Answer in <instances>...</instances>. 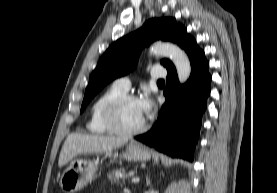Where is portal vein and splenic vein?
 <instances>
[{
    "mask_svg": "<svg viewBox=\"0 0 277 193\" xmlns=\"http://www.w3.org/2000/svg\"><path fill=\"white\" fill-rule=\"evenodd\" d=\"M139 177H133L132 178V183H138L139 182Z\"/></svg>",
    "mask_w": 277,
    "mask_h": 193,
    "instance_id": "portal-vein-and-splenic-vein-1",
    "label": "portal vein and splenic vein"
}]
</instances>
